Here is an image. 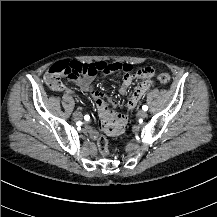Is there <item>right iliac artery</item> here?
<instances>
[{
  "instance_id": "82829eb1",
  "label": "right iliac artery",
  "mask_w": 217,
  "mask_h": 217,
  "mask_svg": "<svg viewBox=\"0 0 217 217\" xmlns=\"http://www.w3.org/2000/svg\"><path fill=\"white\" fill-rule=\"evenodd\" d=\"M84 120H85V121H89V120H90V116H89V115H86V116L84 117Z\"/></svg>"
}]
</instances>
